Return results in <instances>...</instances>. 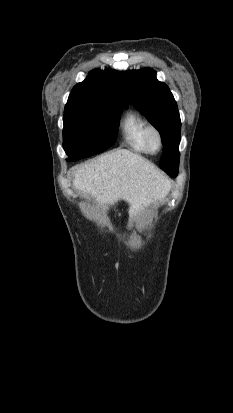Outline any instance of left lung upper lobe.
<instances>
[{
  "label": "left lung upper lobe",
  "instance_id": "5c2ea615",
  "mask_svg": "<svg viewBox=\"0 0 233 413\" xmlns=\"http://www.w3.org/2000/svg\"><path fill=\"white\" fill-rule=\"evenodd\" d=\"M127 98L158 129L163 144L160 167L172 177L178 174L180 115L168 86L150 68L122 72Z\"/></svg>",
  "mask_w": 233,
  "mask_h": 413
}]
</instances>
